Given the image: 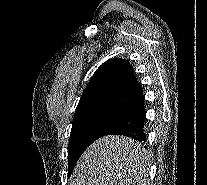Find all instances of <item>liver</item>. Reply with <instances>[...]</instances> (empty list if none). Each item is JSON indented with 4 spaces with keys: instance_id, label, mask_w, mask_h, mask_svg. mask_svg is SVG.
<instances>
[{
    "instance_id": "1",
    "label": "liver",
    "mask_w": 207,
    "mask_h": 185,
    "mask_svg": "<svg viewBox=\"0 0 207 185\" xmlns=\"http://www.w3.org/2000/svg\"><path fill=\"white\" fill-rule=\"evenodd\" d=\"M141 143L108 135L81 155L71 177L74 185H147L150 169Z\"/></svg>"
}]
</instances>
